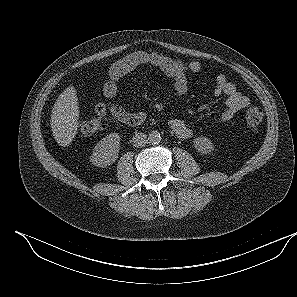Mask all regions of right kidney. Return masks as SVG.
<instances>
[{"instance_id":"right-kidney-1","label":"right kidney","mask_w":297,"mask_h":297,"mask_svg":"<svg viewBox=\"0 0 297 297\" xmlns=\"http://www.w3.org/2000/svg\"><path fill=\"white\" fill-rule=\"evenodd\" d=\"M120 140L118 133H111L100 140L93 149L92 164L103 168L114 163L119 155Z\"/></svg>"}]
</instances>
